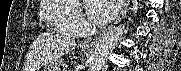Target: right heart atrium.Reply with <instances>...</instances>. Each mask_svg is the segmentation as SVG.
<instances>
[{
  "label": "right heart atrium",
  "instance_id": "d8ad5b80",
  "mask_svg": "<svg viewBox=\"0 0 181 71\" xmlns=\"http://www.w3.org/2000/svg\"><path fill=\"white\" fill-rule=\"evenodd\" d=\"M72 24L74 25L75 29L80 30L81 27L86 25L85 17L80 9H76V13L72 18Z\"/></svg>",
  "mask_w": 181,
  "mask_h": 71
}]
</instances>
